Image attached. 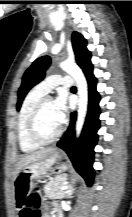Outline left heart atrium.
Returning a JSON list of instances; mask_svg holds the SVG:
<instances>
[{
  "label": "left heart atrium",
  "instance_id": "39dd6f15",
  "mask_svg": "<svg viewBox=\"0 0 132 217\" xmlns=\"http://www.w3.org/2000/svg\"><path fill=\"white\" fill-rule=\"evenodd\" d=\"M54 110L56 120L61 125L67 116V101L64 94H60L57 99L54 101Z\"/></svg>",
  "mask_w": 132,
  "mask_h": 217
}]
</instances>
